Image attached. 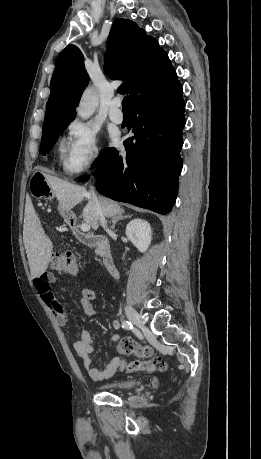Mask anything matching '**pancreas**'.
Here are the masks:
<instances>
[{
  "mask_svg": "<svg viewBox=\"0 0 261 459\" xmlns=\"http://www.w3.org/2000/svg\"><path fill=\"white\" fill-rule=\"evenodd\" d=\"M95 252H96V254H100V249L96 248Z\"/></svg>",
  "mask_w": 261,
  "mask_h": 459,
  "instance_id": "pancreas-1",
  "label": "pancreas"
}]
</instances>
